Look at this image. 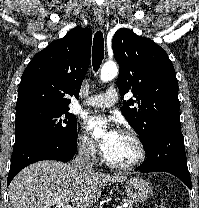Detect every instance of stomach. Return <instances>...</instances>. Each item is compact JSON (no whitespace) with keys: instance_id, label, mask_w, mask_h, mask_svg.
Masks as SVG:
<instances>
[{"instance_id":"1","label":"stomach","mask_w":199,"mask_h":208,"mask_svg":"<svg viewBox=\"0 0 199 208\" xmlns=\"http://www.w3.org/2000/svg\"><path fill=\"white\" fill-rule=\"evenodd\" d=\"M125 191L131 200L142 202L147 200L152 194V186L148 181L134 177L125 181Z\"/></svg>"}]
</instances>
